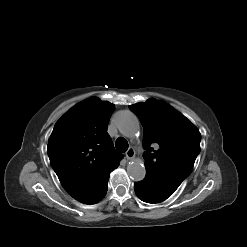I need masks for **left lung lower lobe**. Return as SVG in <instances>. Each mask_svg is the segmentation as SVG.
<instances>
[{
    "mask_svg": "<svg viewBox=\"0 0 247 247\" xmlns=\"http://www.w3.org/2000/svg\"><path fill=\"white\" fill-rule=\"evenodd\" d=\"M134 189L136 195L147 203H160L172 195L171 192L148 176L143 181L135 183Z\"/></svg>",
    "mask_w": 247,
    "mask_h": 247,
    "instance_id": "left-lung-lower-lobe-1",
    "label": "left lung lower lobe"
}]
</instances>
